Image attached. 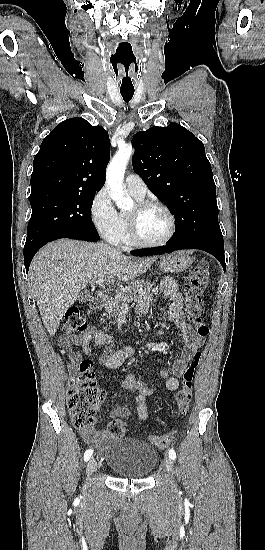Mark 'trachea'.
Segmentation results:
<instances>
[{
    "label": "trachea",
    "instance_id": "obj_1",
    "mask_svg": "<svg viewBox=\"0 0 265 550\" xmlns=\"http://www.w3.org/2000/svg\"><path fill=\"white\" fill-rule=\"evenodd\" d=\"M133 94H134V92L121 91V95H122L124 101L127 102V103L132 99Z\"/></svg>",
    "mask_w": 265,
    "mask_h": 550
}]
</instances>
